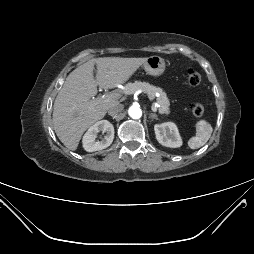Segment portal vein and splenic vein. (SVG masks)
<instances>
[{
  "label": "portal vein and splenic vein",
  "mask_w": 254,
  "mask_h": 254,
  "mask_svg": "<svg viewBox=\"0 0 254 254\" xmlns=\"http://www.w3.org/2000/svg\"><path fill=\"white\" fill-rule=\"evenodd\" d=\"M118 97H119V94L117 93L104 94V95L98 96L96 99L92 100V102L95 104L107 103L117 99ZM157 107H159L157 103L153 104L152 110L156 111Z\"/></svg>",
  "instance_id": "1"
}]
</instances>
